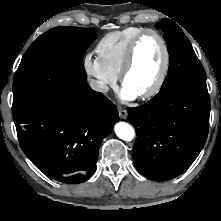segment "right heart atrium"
Wrapping results in <instances>:
<instances>
[{"instance_id": "obj_1", "label": "right heart atrium", "mask_w": 221, "mask_h": 221, "mask_svg": "<svg viewBox=\"0 0 221 221\" xmlns=\"http://www.w3.org/2000/svg\"><path fill=\"white\" fill-rule=\"evenodd\" d=\"M83 69L91 78L93 88L99 93H106L117 81V76L103 64L99 57L91 53L84 56Z\"/></svg>"}]
</instances>
